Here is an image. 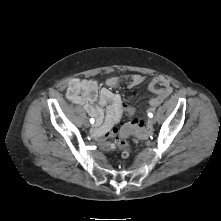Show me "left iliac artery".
I'll list each match as a JSON object with an SVG mask.
<instances>
[{"label":"left iliac artery","mask_w":221,"mask_h":221,"mask_svg":"<svg viewBox=\"0 0 221 221\" xmlns=\"http://www.w3.org/2000/svg\"><path fill=\"white\" fill-rule=\"evenodd\" d=\"M149 117H151V118H152V117H153V114H152V113H149Z\"/></svg>","instance_id":"44dca946"}]
</instances>
